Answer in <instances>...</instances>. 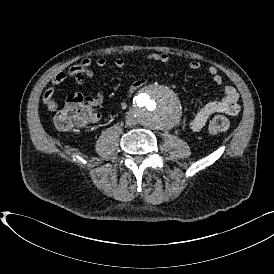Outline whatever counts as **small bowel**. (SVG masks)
<instances>
[{
	"instance_id": "obj_1",
	"label": "small bowel",
	"mask_w": 274,
	"mask_h": 274,
	"mask_svg": "<svg viewBox=\"0 0 274 274\" xmlns=\"http://www.w3.org/2000/svg\"><path fill=\"white\" fill-rule=\"evenodd\" d=\"M146 59L151 62L162 64L168 63L171 60L170 56L166 53H151L146 57ZM106 65L107 60L103 57H99L94 61L87 58L83 59L78 64L71 66L66 73L57 74L53 78L51 86L48 90H44L42 92V97L48 104L49 110L51 112H56L58 110V105L56 99L53 97V94L55 93L56 88L61 86L67 78H73L79 86H82L86 79H91L94 77L95 72L93 67L104 68ZM114 66L118 69H122L125 66V60L123 58L115 59ZM188 67L192 70H199L202 65L199 61L193 60L189 62ZM207 73L211 77L213 83L216 85L223 84V76L220 74L217 67L213 65L208 66ZM146 83L147 80L144 78L133 82L127 90L126 97L123 100L121 107L125 108L127 105V100L131 97V95L143 87ZM73 97L75 100L80 101L89 108L90 112L85 124H96L101 121L102 115L99 112L94 111V109L99 107L104 101V95L101 92H96L93 96L86 98H83L78 94H74ZM239 111L240 105L237 90L232 86H224L222 89L221 100L209 101L201 104L198 107L197 112L189 120V127L192 131L198 132L205 126L210 116L214 114H226L233 116Z\"/></svg>"
}]
</instances>
